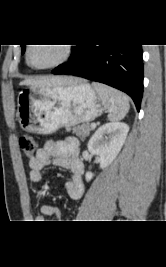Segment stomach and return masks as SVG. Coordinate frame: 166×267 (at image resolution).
I'll use <instances>...</instances> for the list:
<instances>
[{
  "instance_id": "1",
  "label": "stomach",
  "mask_w": 166,
  "mask_h": 267,
  "mask_svg": "<svg viewBox=\"0 0 166 267\" xmlns=\"http://www.w3.org/2000/svg\"><path fill=\"white\" fill-rule=\"evenodd\" d=\"M17 102L21 128L44 135L93 121L104 111L100 96L85 81L66 86H30L19 93Z\"/></svg>"
}]
</instances>
